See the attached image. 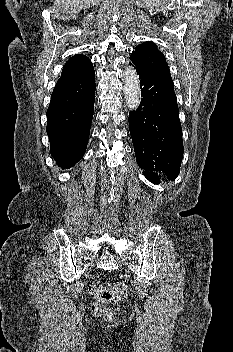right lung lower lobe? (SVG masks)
I'll list each match as a JSON object with an SVG mask.
<instances>
[{"mask_svg": "<svg viewBox=\"0 0 233 352\" xmlns=\"http://www.w3.org/2000/svg\"><path fill=\"white\" fill-rule=\"evenodd\" d=\"M95 72L90 69L70 80L57 82L47 110L50 152L63 169L85 154L95 102Z\"/></svg>", "mask_w": 233, "mask_h": 352, "instance_id": "1", "label": "right lung lower lobe"}]
</instances>
